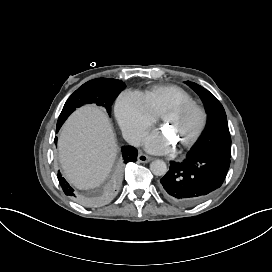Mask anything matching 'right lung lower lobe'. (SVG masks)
Segmentation results:
<instances>
[{"mask_svg": "<svg viewBox=\"0 0 272 272\" xmlns=\"http://www.w3.org/2000/svg\"><path fill=\"white\" fill-rule=\"evenodd\" d=\"M61 126L57 125L56 132L59 131ZM57 138H55V142ZM137 149L132 146H124L122 148V163L127 164L129 162H134L137 160ZM59 183L68 196H75L73 188L67 183V181L58 173ZM121 185V178L118 173H116L112 179L106 184V186L98 194L94 196H88L83 199L84 203L88 206H99L105 201L113 197L119 190Z\"/></svg>", "mask_w": 272, "mask_h": 272, "instance_id": "1", "label": "right lung lower lobe"}]
</instances>
